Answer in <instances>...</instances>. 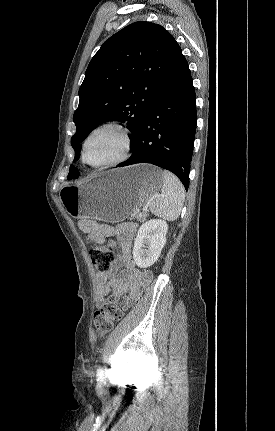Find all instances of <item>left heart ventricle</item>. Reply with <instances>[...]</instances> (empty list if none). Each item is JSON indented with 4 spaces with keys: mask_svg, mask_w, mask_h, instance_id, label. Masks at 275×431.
<instances>
[{
    "mask_svg": "<svg viewBox=\"0 0 275 431\" xmlns=\"http://www.w3.org/2000/svg\"><path fill=\"white\" fill-rule=\"evenodd\" d=\"M122 149V139L114 130H103L94 135L86 149V158L92 164H100L116 158Z\"/></svg>",
    "mask_w": 275,
    "mask_h": 431,
    "instance_id": "obj_1",
    "label": "left heart ventricle"
}]
</instances>
